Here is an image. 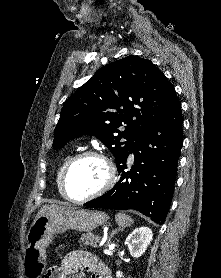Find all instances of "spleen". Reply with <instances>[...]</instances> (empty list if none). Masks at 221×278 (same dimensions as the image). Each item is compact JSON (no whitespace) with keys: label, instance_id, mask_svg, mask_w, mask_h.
<instances>
[{"label":"spleen","instance_id":"1","mask_svg":"<svg viewBox=\"0 0 221 278\" xmlns=\"http://www.w3.org/2000/svg\"><path fill=\"white\" fill-rule=\"evenodd\" d=\"M115 220L121 228L128 227L133 223V219L129 215L123 213H117L115 215Z\"/></svg>","mask_w":221,"mask_h":278}]
</instances>
